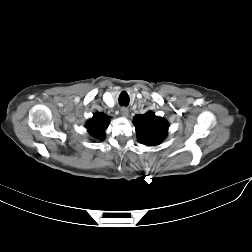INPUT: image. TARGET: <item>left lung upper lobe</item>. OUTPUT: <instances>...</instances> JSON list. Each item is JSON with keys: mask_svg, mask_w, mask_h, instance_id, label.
I'll return each instance as SVG.
<instances>
[{"mask_svg": "<svg viewBox=\"0 0 252 252\" xmlns=\"http://www.w3.org/2000/svg\"><path fill=\"white\" fill-rule=\"evenodd\" d=\"M137 140L147 146L160 144L167 135L169 124L153 112L148 111L143 115H136L133 120Z\"/></svg>", "mask_w": 252, "mask_h": 252, "instance_id": "1", "label": "left lung upper lobe"}]
</instances>
